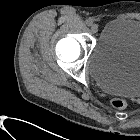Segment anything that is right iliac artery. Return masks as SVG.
<instances>
[{
  "label": "right iliac artery",
  "instance_id": "82829eb1",
  "mask_svg": "<svg viewBox=\"0 0 140 140\" xmlns=\"http://www.w3.org/2000/svg\"><path fill=\"white\" fill-rule=\"evenodd\" d=\"M86 24L89 25V26L92 25V24H93V20L87 19V20H86Z\"/></svg>",
  "mask_w": 140,
  "mask_h": 140
}]
</instances>
